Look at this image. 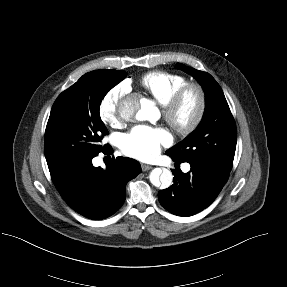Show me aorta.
Instances as JSON below:
<instances>
[{"label":"aorta","mask_w":287,"mask_h":287,"mask_svg":"<svg viewBox=\"0 0 287 287\" xmlns=\"http://www.w3.org/2000/svg\"><path fill=\"white\" fill-rule=\"evenodd\" d=\"M155 111L151 100L141 98L137 94L127 96L119 106L120 116L125 120L136 118L137 120H149ZM151 183L158 188L166 189L172 185V172L166 168H155L150 173Z\"/></svg>","instance_id":"obj_1"}]
</instances>
